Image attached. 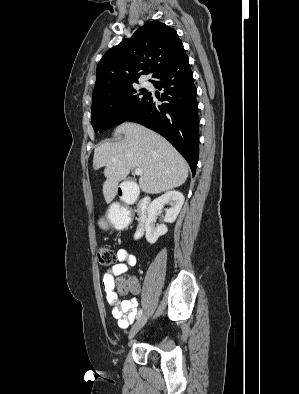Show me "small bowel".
Segmentation results:
<instances>
[{
	"label": "small bowel",
	"instance_id": "obj_1",
	"mask_svg": "<svg viewBox=\"0 0 299 394\" xmlns=\"http://www.w3.org/2000/svg\"><path fill=\"white\" fill-rule=\"evenodd\" d=\"M121 211V209L119 210ZM117 259L119 263L109 268L102 277V286L106 294V300L112 307V316L116 319L118 327L122 329L128 328L137 316L139 301L137 298L120 301L114 293V279L117 276L126 274L128 268L135 266L136 257L126 248H119L117 251ZM130 293L137 295L140 293V284L136 277H131Z\"/></svg>",
	"mask_w": 299,
	"mask_h": 394
}]
</instances>
